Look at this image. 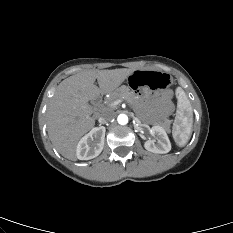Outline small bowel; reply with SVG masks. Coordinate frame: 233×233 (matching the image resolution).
Instances as JSON below:
<instances>
[{"mask_svg": "<svg viewBox=\"0 0 233 233\" xmlns=\"http://www.w3.org/2000/svg\"><path fill=\"white\" fill-rule=\"evenodd\" d=\"M158 105H159L160 110L164 114L170 113V111L172 110L171 94L166 93L162 98H160L158 100Z\"/></svg>", "mask_w": 233, "mask_h": 233, "instance_id": "1", "label": "small bowel"}]
</instances>
